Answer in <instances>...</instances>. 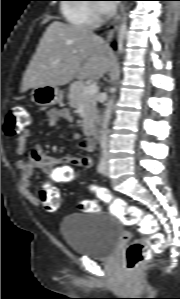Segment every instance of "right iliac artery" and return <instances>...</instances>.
<instances>
[{"label":"right iliac artery","mask_w":180,"mask_h":299,"mask_svg":"<svg viewBox=\"0 0 180 299\" xmlns=\"http://www.w3.org/2000/svg\"><path fill=\"white\" fill-rule=\"evenodd\" d=\"M105 171V159L102 158L98 165V172L103 174Z\"/></svg>","instance_id":"obj_1"}]
</instances>
